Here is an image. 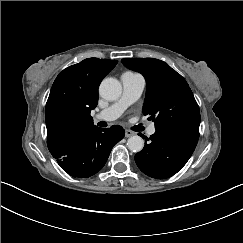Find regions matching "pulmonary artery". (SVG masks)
Wrapping results in <instances>:
<instances>
[{
	"instance_id": "e3ab8cb5",
	"label": "pulmonary artery",
	"mask_w": 243,
	"mask_h": 243,
	"mask_svg": "<svg viewBox=\"0 0 243 243\" xmlns=\"http://www.w3.org/2000/svg\"><path fill=\"white\" fill-rule=\"evenodd\" d=\"M121 82L123 92L120 99L108 108L95 114L93 116L95 121L110 122L117 119L128 105L136 102L140 98L145 88V80L142 76L140 79L127 78L122 76ZM155 132V124L152 123L147 129V134L149 136H153Z\"/></svg>"
}]
</instances>
